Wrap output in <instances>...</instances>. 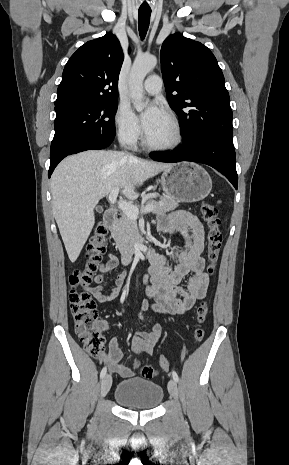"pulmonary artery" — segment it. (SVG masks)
Returning a JSON list of instances; mask_svg holds the SVG:
<instances>
[{
  "label": "pulmonary artery",
  "mask_w": 289,
  "mask_h": 465,
  "mask_svg": "<svg viewBox=\"0 0 289 465\" xmlns=\"http://www.w3.org/2000/svg\"><path fill=\"white\" fill-rule=\"evenodd\" d=\"M143 88L148 94H158L162 90V79L158 75H150L145 80Z\"/></svg>",
  "instance_id": "obj_1"
}]
</instances>
